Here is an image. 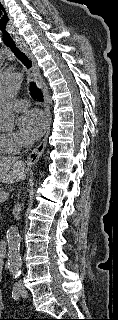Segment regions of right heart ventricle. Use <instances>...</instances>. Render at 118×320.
<instances>
[{
	"label": "right heart ventricle",
	"instance_id": "1",
	"mask_svg": "<svg viewBox=\"0 0 118 320\" xmlns=\"http://www.w3.org/2000/svg\"><path fill=\"white\" fill-rule=\"evenodd\" d=\"M3 153H6V152L4 151V149L0 145V154H3Z\"/></svg>",
	"mask_w": 118,
	"mask_h": 320
}]
</instances>
